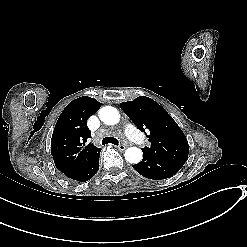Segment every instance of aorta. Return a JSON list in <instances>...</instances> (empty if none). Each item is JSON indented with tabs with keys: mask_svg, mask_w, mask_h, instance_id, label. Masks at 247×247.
Here are the masks:
<instances>
[{
	"mask_svg": "<svg viewBox=\"0 0 247 247\" xmlns=\"http://www.w3.org/2000/svg\"><path fill=\"white\" fill-rule=\"evenodd\" d=\"M101 121L107 125H115L120 120L118 110L112 106L102 107L99 111ZM142 151L137 147H130L125 151V159L133 164H137L142 160Z\"/></svg>",
	"mask_w": 247,
	"mask_h": 247,
	"instance_id": "obj_1",
	"label": "aorta"
}]
</instances>
